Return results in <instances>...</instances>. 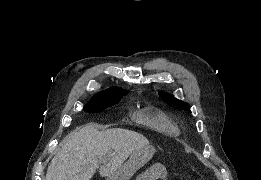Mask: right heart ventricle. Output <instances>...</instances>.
<instances>
[{
  "mask_svg": "<svg viewBox=\"0 0 261 180\" xmlns=\"http://www.w3.org/2000/svg\"><path fill=\"white\" fill-rule=\"evenodd\" d=\"M131 121H143V126H134L136 131L144 133H167V138H141V139H158L172 140L181 135L180 127L164 111L158 109H141L136 111Z\"/></svg>",
  "mask_w": 261,
  "mask_h": 180,
  "instance_id": "e07e8e85",
  "label": "right heart ventricle"
}]
</instances>
